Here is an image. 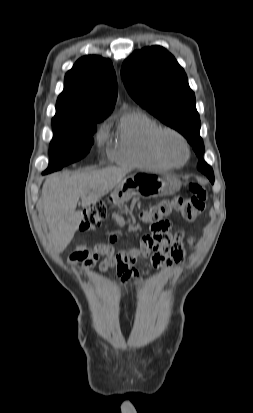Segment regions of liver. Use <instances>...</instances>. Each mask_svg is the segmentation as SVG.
Wrapping results in <instances>:
<instances>
[{"label": "liver", "mask_w": 253, "mask_h": 413, "mask_svg": "<svg viewBox=\"0 0 253 413\" xmlns=\"http://www.w3.org/2000/svg\"><path fill=\"white\" fill-rule=\"evenodd\" d=\"M128 172L127 168L109 167L54 174L45 180L42 205L49 228V243L55 252H63L79 228L83 219L82 211H76L79 199L83 208L96 203L119 186Z\"/></svg>", "instance_id": "1"}]
</instances>
